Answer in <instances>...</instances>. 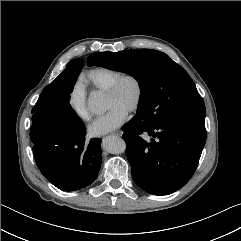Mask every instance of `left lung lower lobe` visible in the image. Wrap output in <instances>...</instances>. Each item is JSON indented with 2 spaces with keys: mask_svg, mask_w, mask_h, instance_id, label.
I'll return each mask as SVG.
<instances>
[{
  "mask_svg": "<svg viewBox=\"0 0 241 241\" xmlns=\"http://www.w3.org/2000/svg\"><path fill=\"white\" fill-rule=\"evenodd\" d=\"M122 130L132 177L154 195L171 194L191 179L206 142L202 116L174 114L156 124L134 116ZM142 134L151 136V141Z\"/></svg>",
  "mask_w": 241,
  "mask_h": 241,
  "instance_id": "1",
  "label": "left lung lower lobe"
}]
</instances>
